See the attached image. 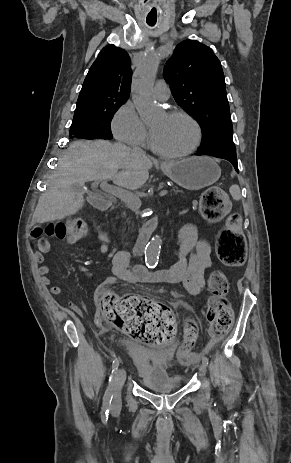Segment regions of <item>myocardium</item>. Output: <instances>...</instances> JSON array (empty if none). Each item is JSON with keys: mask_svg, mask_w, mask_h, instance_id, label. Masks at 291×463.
Segmentation results:
<instances>
[{"mask_svg": "<svg viewBox=\"0 0 291 463\" xmlns=\"http://www.w3.org/2000/svg\"><path fill=\"white\" fill-rule=\"evenodd\" d=\"M166 116H168V117H181V118H184L185 120H187L193 126V129H194L195 136H194L193 143L187 149H185L183 151H180V152H174V153L164 152V151H161L160 149H158L155 146L154 141H153V135H152V132H151V134H150V147H151L152 151L154 153L158 154L159 156H161L163 158H167V159H177V158L186 157V156L192 154L194 151H196V149L201 144V140H202V130H201V126H200L199 122L190 113H188L187 111L182 110V109L170 110V111H168L166 113Z\"/></svg>", "mask_w": 291, "mask_h": 463, "instance_id": "myocardium-1", "label": "myocardium"}]
</instances>
